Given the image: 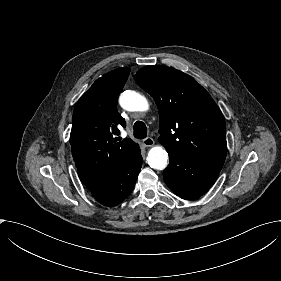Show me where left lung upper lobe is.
<instances>
[{"label": "left lung upper lobe", "instance_id": "5c2ea615", "mask_svg": "<svg viewBox=\"0 0 281 281\" xmlns=\"http://www.w3.org/2000/svg\"><path fill=\"white\" fill-rule=\"evenodd\" d=\"M135 81L157 104L158 141L167 151L191 159L225 160L224 117L191 76L168 66H145L136 73Z\"/></svg>", "mask_w": 281, "mask_h": 281}]
</instances>
